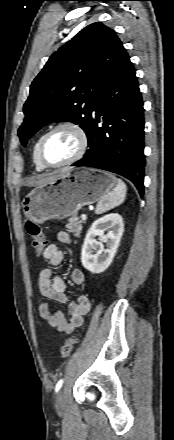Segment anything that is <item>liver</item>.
<instances>
[{
	"label": "liver",
	"mask_w": 174,
	"mask_h": 440,
	"mask_svg": "<svg viewBox=\"0 0 174 440\" xmlns=\"http://www.w3.org/2000/svg\"><path fill=\"white\" fill-rule=\"evenodd\" d=\"M58 175H51V176H47V177H42L36 181H33L30 183V185H42L45 184L49 181H52L53 179H55Z\"/></svg>",
	"instance_id": "obj_1"
}]
</instances>
